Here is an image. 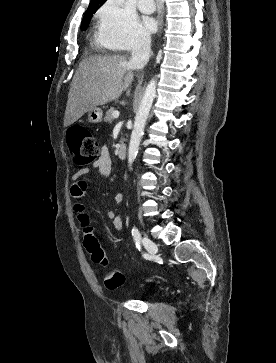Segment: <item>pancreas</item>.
Returning a JSON list of instances; mask_svg holds the SVG:
<instances>
[{"mask_svg": "<svg viewBox=\"0 0 276 363\" xmlns=\"http://www.w3.org/2000/svg\"><path fill=\"white\" fill-rule=\"evenodd\" d=\"M115 111L114 108H111L109 109L107 112H106V116L104 118V122H108V123H111L113 121V116H112V113Z\"/></svg>", "mask_w": 276, "mask_h": 363, "instance_id": "1", "label": "pancreas"}]
</instances>
